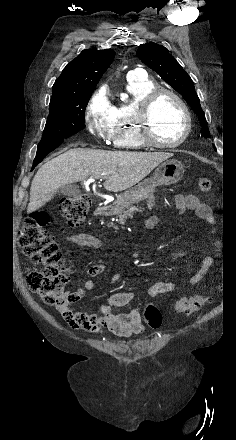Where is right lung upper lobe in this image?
Instances as JSON below:
<instances>
[{
	"mask_svg": "<svg viewBox=\"0 0 236 440\" xmlns=\"http://www.w3.org/2000/svg\"><path fill=\"white\" fill-rule=\"evenodd\" d=\"M114 56L115 52L111 49L82 51L55 81L50 103L68 101L92 93Z\"/></svg>",
	"mask_w": 236,
	"mask_h": 440,
	"instance_id": "cb5924a9",
	"label": "right lung upper lobe"
}]
</instances>
